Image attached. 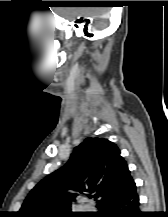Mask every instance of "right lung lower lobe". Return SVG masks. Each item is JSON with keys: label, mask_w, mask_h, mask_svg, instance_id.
Listing matches in <instances>:
<instances>
[{"label": "right lung lower lobe", "mask_w": 168, "mask_h": 217, "mask_svg": "<svg viewBox=\"0 0 168 217\" xmlns=\"http://www.w3.org/2000/svg\"><path fill=\"white\" fill-rule=\"evenodd\" d=\"M92 217H144L139 210V197L134 187L128 194L106 203Z\"/></svg>", "instance_id": "right-lung-lower-lobe-1"}]
</instances>
